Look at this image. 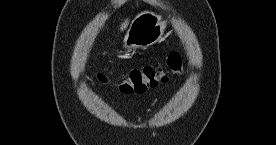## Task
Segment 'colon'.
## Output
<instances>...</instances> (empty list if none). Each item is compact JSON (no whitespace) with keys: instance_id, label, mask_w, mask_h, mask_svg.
Returning a JSON list of instances; mask_svg holds the SVG:
<instances>
[{"instance_id":"colon-1","label":"colon","mask_w":276,"mask_h":145,"mask_svg":"<svg viewBox=\"0 0 276 145\" xmlns=\"http://www.w3.org/2000/svg\"><path fill=\"white\" fill-rule=\"evenodd\" d=\"M182 71V59L178 53H171L164 65H147L133 68L118 77H112L105 71L97 72V78L114 85L124 94H141L159 84L166 83L173 75Z\"/></svg>"}]
</instances>
